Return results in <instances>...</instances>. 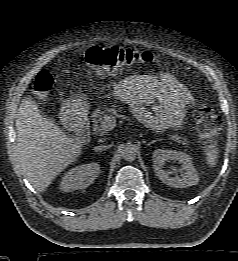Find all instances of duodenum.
<instances>
[{"label": "duodenum", "mask_w": 238, "mask_h": 261, "mask_svg": "<svg viewBox=\"0 0 238 261\" xmlns=\"http://www.w3.org/2000/svg\"><path fill=\"white\" fill-rule=\"evenodd\" d=\"M67 124L77 132V140L85 143L89 138L90 119L87 114L73 112L66 115Z\"/></svg>", "instance_id": "obj_1"}]
</instances>
